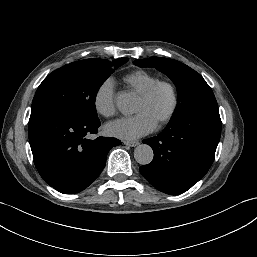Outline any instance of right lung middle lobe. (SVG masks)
<instances>
[{"mask_svg":"<svg viewBox=\"0 0 257 257\" xmlns=\"http://www.w3.org/2000/svg\"><path fill=\"white\" fill-rule=\"evenodd\" d=\"M128 61L119 58L86 59L67 64L49 74L38 87L31 114L55 113L73 119H96L97 92L115 69Z\"/></svg>","mask_w":257,"mask_h":257,"instance_id":"right-lung-middle-lobe-1","label":"right lung middle lobe"}]
</instances>
